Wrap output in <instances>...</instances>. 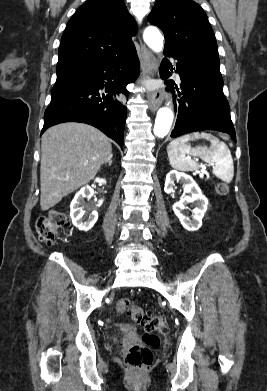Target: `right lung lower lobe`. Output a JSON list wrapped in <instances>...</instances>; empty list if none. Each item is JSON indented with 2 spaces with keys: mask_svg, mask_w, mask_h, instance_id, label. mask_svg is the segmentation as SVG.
Wrapping results in <instances>:
<instances>
[{
  "mask_svg": "<svg viewBox=\"0 0 267 391\" xmlns=\"http://www.w3.org/2000/svg\"><path fill=\"white\" fill-rule=\"evenodd\" d=\"M139 70L134 49L57 78L41 134L59 123L81 122L100 129L122 148L127 111L112 95H126V85L137 78ZM103 88L108 94L102 98L99 90Z\"/></svg>",
  "mask_w": 267,
  "mask_h": 391,
  "instance_id": "obj_1",
  "label": "right lung lower lobe"
}]
</instances>
